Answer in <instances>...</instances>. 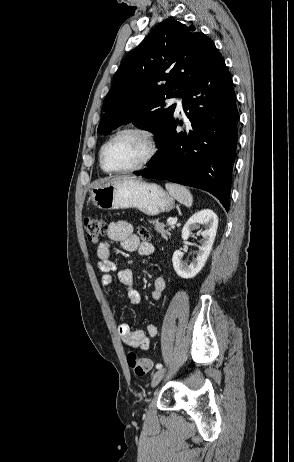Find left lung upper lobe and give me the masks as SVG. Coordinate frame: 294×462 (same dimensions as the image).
Returning a JSON list of instances; mask_svg holds the SVG:
<instances>
[{
    "mask_svg": "<svg viewBox=\"0 0 294 462\" xmlns=\"http://www.w3.org/2000/svg\"><path fill=\"white\" fill-rule=\"evenodd\" d=\"M221 58L211 39L194 26L174 19L161 22L116 71L98 132L108 134L133 122L155 133L158 143L174 120L176 105L166 108L165 99L181 97L205 68Z\"/></svg>",
    "mask_w": 294,
    "mask_h": 462,
    "instance_id": "5c2ea615",
    "label": "left lung upper lobe"
}]
</instances>
